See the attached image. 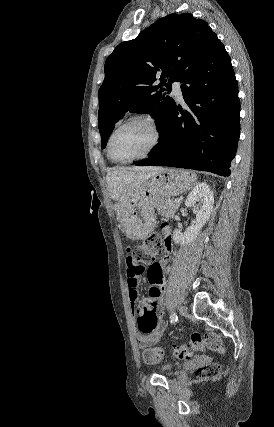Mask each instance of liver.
Instances as JSON below:
<instances>
[{"label":"liver","instance_id":"liver-1","mask_svg":"<svg viewBox=\"0 0 274 427\" xmlns=\"http://www.w3.org/2000/svg\"><path fill=\"white\" fill-rule=\"evenodd\" d=\"M164 168H113L111 172H108L106 176L108 192L112 200H120L122 204L129 202L133 198L137 184L143 180V178H151L155 176L157 172H161Z\"/></svg>","mask_w":274,"mask_h":427}]
</instances>
